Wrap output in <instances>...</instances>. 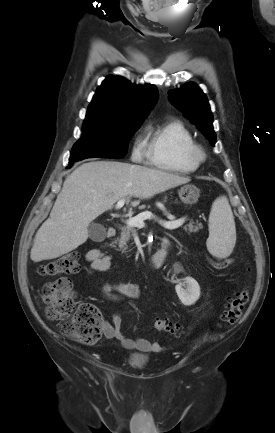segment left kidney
I'll return each instance as SVG.
<instances>
[{"mask_svg": "<svg viewBox=\"0 0 275 433\" xmlns=\"http://www.w3.org/2000/svg\"><path fill=\"white\" fill-rule=\"evenodd\" d=\"M175 290L181 302L186 306L193 305L200 297V286L191 277L184 278L182 283L176 285Z\"/></svg>", "mask_w": 275, "mask_h": 433, "instance_id": "5707ae66", "label": "left kidney"}]
</instances>
